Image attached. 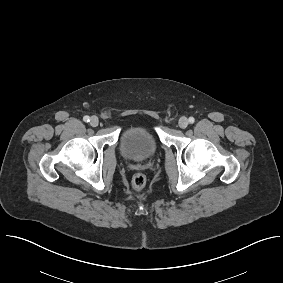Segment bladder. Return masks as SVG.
<instances>
[{
	"mask_svg": "<svg viewBox=\"0 0 283 283\" xmlns=\"http://www.w3.org/2000/svg\"><path fill=\"white\" fill-rule=\"evenodd\" d=\"M159 149L156 135L144 127L127 128L121 137L119 150L128 160L141 161L151 158Z\"/></svg>",
	"mask_w": 283,
	"mask_h": 283,
	"instance_id": "1",
	"label": "bladder"
}]
</instances>
